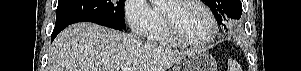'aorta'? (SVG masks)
Returning <instances> with one entry per match:
<instances>
[{"instance_id": "aorta-1", "label": "aorta", "mask_w": 301, "mask_h": 71, "mask_svg": "<svg viewBox=\"0 0 301 71\" xmlns=\"http://www.w3.org/2000/svg\"><path fill=\"white\" fill-rule=\"evenodd\" d=\"M153 6L162 7L166 4L167 0H150Z\"/></svg>"}]
</instances>
